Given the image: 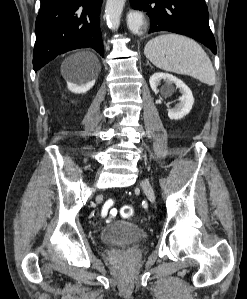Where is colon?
Masks as SVG:
<instances>
[{"instance_id": "colon-1", "label": "colon", "mask_w": 247, "mask_h": 299, "mask_svg": "<svg viewBox=\"0 0 247 299\" xmlns=\"http://www.w3.org/2000/svg\"><path fill=\"white\" fill-rule=\"evenodd\" d=\"M121 216L124 218H132L135 214V210L131 205H124L120 210Z\"/></svg>"}]
</instances>
